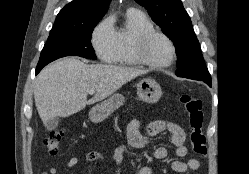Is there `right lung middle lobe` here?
Returning <instances> with one entry per match:
<instances>
[{"label":"right lung middle lobe","mask_w":249,"mask_h":174,"mask_svg":"<svg viewBox=\"0 0 249 174\" xmlns=\"http://www.w3.org/2000/svg\"><path fill=\"white\" fill-rule=\"evenodd\" d=\"M99 21H91L85 25L60 30H51L42 49L37 67L65 56H80L96 59L91 45L93 28Z\"/></svg>","instance_id":"dd1d6c3e"}]
</instances>
